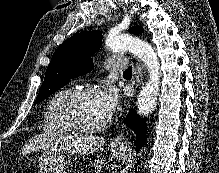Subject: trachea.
I'll return each instance as SVG.
<instances>
[{
	"mask_svg": "<svg viewBox=\"0 0 219 173\" xmlns=\"http://www.w3.org/2000/svg\"><path fill=\"white\" fill-rule=\"evenodd\" d=\"M123 74H129L132 75V68L129 67Z\"/></svg>",
	"mask_w": 219,
	"mask_h": 173,
	"instance_id": "trachea-1",
	"label": "trachea"
}]
</instances>
